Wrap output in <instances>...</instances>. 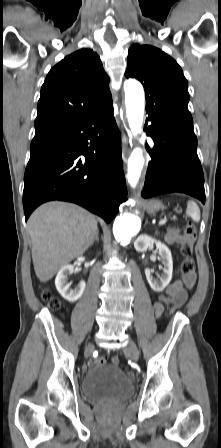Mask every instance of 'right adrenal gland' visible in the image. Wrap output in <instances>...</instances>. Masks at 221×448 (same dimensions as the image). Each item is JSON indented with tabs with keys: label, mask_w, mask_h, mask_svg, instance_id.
<instances>
[{
	"label": "right adrenal gland",
	"mask_w": 221,
	"mask_h": 448,
	"mask_svg": "<svg viewBox=\"0 0 221 448\" xmlns=\"http://www.w3.org/2000/svg\"><path fill=\"white\" fill-rule=\"evenodd\" d=\"M95 241L99 242V231H97L95 239L93 240L91 245H93Z\"/></svg>",
	"instance_id": "1"
}]
</instances>
